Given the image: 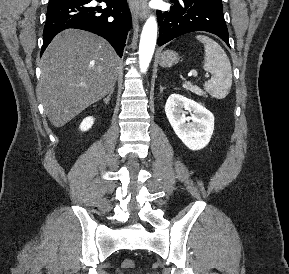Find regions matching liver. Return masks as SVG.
Wrapping results in <instances>:
<instances>
[{
    "label": "liver",
    "mask_w": 289,
    "mask_h": 274,
    "mask_svg": "<svg viewBox=\"0 0 289 274\" xmlns=\"http://www.w3.org/2000/svg\"><path fill=\"white\" fill-rule=\"evenodd\" d=\"M119 63L101 37L76 29L59 33L42 56L37 87L51 124L62 127L105 97L114 88Z\"/></svg>",
    "instance_id": "liver-1"
}]
</instances>
